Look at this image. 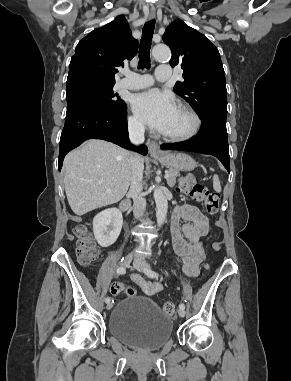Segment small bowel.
Instances as JSON below:
<instances>
[{
	"label": "small bowel",
	"instance_id": "c3829d8e",
	"mask_svg": "<svg viewBox=\"0 0 291 381\" xmlns=\"http://www.w3.org/2000/svg\"><path fill=\"white\" fill-rule=\"evenodd\" d=\"M209 223L205 215L195 206L185 205L177 209L171 221V240L174 251L182 257L184 272L194 277L204 257L202 238L207 234ZM131 279L146 295H155L162 289L159 282L147 281L139 274Z\"/></svg>",
	"mask_w": 291,
	"mask_h": 381
}]
</instances>
